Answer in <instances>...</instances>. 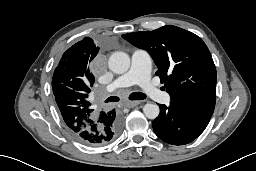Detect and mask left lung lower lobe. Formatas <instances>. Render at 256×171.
Returning <instances> with one entry per match:
<instances>
[{
    "label": "left lung lower lobe",
    "instance_id": "obj_1",
    "mask_svg": "<svg viewBox=\"0 0 256 171\" xmlns=\"http://www.w3.org/2000/svg\"><path fill=\"white\" fill-rule=\"evenodd\" d=\"M160 114L152 122L156 135L173 145L188 144L206 128L211 117L182 104L171 101L170 105H159Z\"/></svg>",
    "mask_w": 256,
    "mask_h": 171
}]
</instances>
